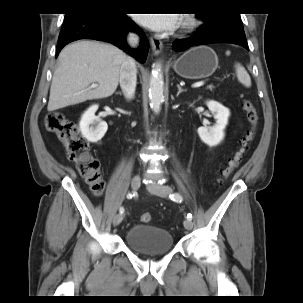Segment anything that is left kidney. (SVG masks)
<instances>
[{"label":"left kidney","instance_id":"obj_1","mask_svg":"<svg viewBox=\"0 0 303 303\" xmlns=\"http://www.w3.org/2000/svg\"><path fill=\"white\" fill-rule=\"evenodd\" d=\"M206 105L214 115L216 124L213 127H199L197 132L202 142L213 147L220 144L225 137L224 130L228 124L230 111L217 101H207Z\"/></svg>","mask_w":303,"mask_h":303}]
</instances>
